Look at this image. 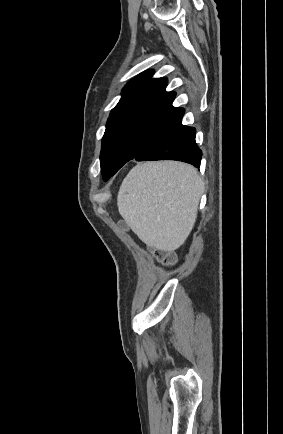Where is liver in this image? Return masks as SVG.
<instances>
[{
  "mask_svg": "<svg viewBox=\"0 0 283 434\" xmlns=\"http://www.w3.org/2000/svg\"><path fill=\"white\" fill-rule=\"evenodd\" d=\"M203 190L204 184L191 165L145 162L124 178L117 196L118 211L148 247L172 252L191 233Z\"/></svg>",
  "mask_w": 283,
  "mask_h": 434,
  "instance_id": "6515ba94",
  "label": "liver"
}]
</instances>
